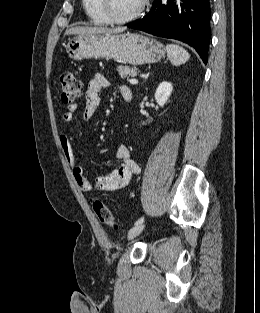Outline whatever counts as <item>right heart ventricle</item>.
<instances>
[{
	"label": "right heart ventricle",
	"instance_id": "obj_1",
	"mask_svg": "<svg viewBox=\"0 0 260 313\" xmlns=\"http://www.w3.org/2000/svg\"><path fill=\"white\" fill-rule=\"evenodd\" d=\"M82 6L92 23L96 25L109 23L99 8V0H82Z\"/></svg>",
	"mask_w": 260,
	"mask_h": 313
}]
</instances>
